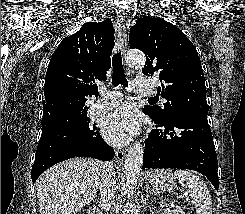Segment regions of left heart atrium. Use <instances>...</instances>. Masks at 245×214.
<instances>
[{
  "instance_id": "1",
  "label": "left heart atrium",
  "mask_w": 245,
  "mask_h": 214,
  "mask_svg": "<svg viewBox=\"0 0 245 214\" xmlns=\"http://www.w3.org/2000/svg\"><path fill=\"white\" fill-rule=\"evenodd\" d=\"M136 112L123 106L106 117L102 124V134L113 145L127 144L138 131Z\"/></svg>"
}]
</instances>
